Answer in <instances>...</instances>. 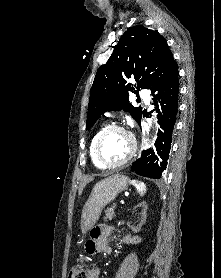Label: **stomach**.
<instances>
[{"mask_svg":"<svg viewBox=\"0 0 221 278\" xmlns=\"http://www.w3.org/2000/svg\"><path fill=\"white\" fill-rule=\"evenodd\" d=\"M128 178L124 175L114 174L98 182L81 215V231L87 233L98 221L103 208L112 202L116 196L128 188Z\"/></svg>","mask_w":221,"mask_h":278,"instance_id":"1","label":"stomach"}]
</instances>
